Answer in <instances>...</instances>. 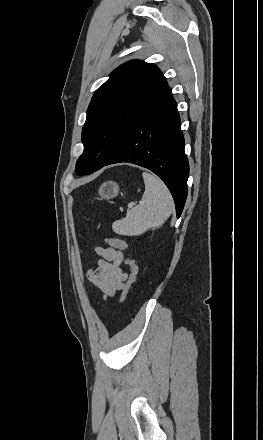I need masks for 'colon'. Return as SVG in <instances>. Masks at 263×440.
Listing matches in <instances>:
<instances>
[{"instance_id":"5ec220e1","label":"colon","mask_w":263,"mask_h":440,"mask_svg":"<svg viewBox=\"0 0 263 440\" xmlns=\"http://www.w3.org/2000/svg\"><path fill=\"white\" fill-rule=\"evenodd\" d=\"M106 241L110 245V247H113L115 249L122 250V251L127 249L126 242L117 238V237H107ZM126 264L128 265L130 272H129V278L127 280V284L125 286V289H124V292L122 295V301H125V299L127 298L132 286L135 283L136 275H137V268H136L134 261L128 258V259H126Z\"/></svg>"}]
</instances>
